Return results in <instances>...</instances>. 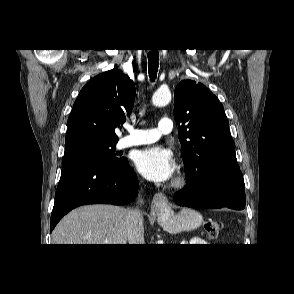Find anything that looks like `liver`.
<instances>
[{"label":"liver","mask_w":294,"mask_h":294,"mask_svg":"<svg viewBox=\"0 0 294 294\" xmlns=\"http://www.w3.org/2000/svg\"><path fill=\"white\" fill-rule=\"evenodd\" d=\"M127 212L128 209L113 205L79 207L58 223L52 233V243L124 245Z\"/></svg>","instance_id":"6515ba94"}]
</instances>
